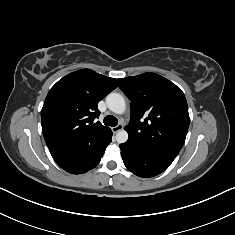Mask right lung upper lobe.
<instances>
[{
	"label": "right lung upper lobe",
	"instance_id": "right-lung-upper-lobe-1",
	"mask_svg": "<svg viewBox=\"0 0 235 235\" xmlns=\"http://www.w3.org/2000/svg\"><path fill=\"white\" fill-rule=\"evenodd\" d=\"M117 80L82 69L59 80L41 110L44 138L54 159L93 146L111 131L100 122L98 102L117 87Z\"/></svg>",
	"mask_w": 235,
	"mask_h": 235
}]
</instances>
